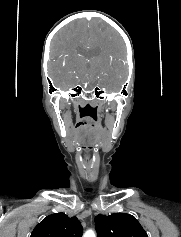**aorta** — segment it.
I'll use <instances>...</instances> for the list:
<instances>
[{
  "label": "aorta",
  "mask_w": 181,
  "mask_h": 237,
  "mask_svg": "<svg viewBox=\"0 0 181 237\" xmlns=\"http://www.w3.org/2000/svg\"><path fill=\"white\" fill-rule=\"evenodd\" d=\"M83 237H96L95 233L92 230L86 231Z\"/></svg>",
  "instance_id": "762f6f07"
}]
</instances>
